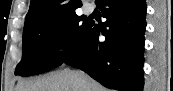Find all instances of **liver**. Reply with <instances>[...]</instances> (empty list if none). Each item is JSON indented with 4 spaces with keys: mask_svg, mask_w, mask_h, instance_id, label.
I'll use <instances>...</instances> for the list:
<instances>
[{
    "mask_svg": "<svg viewBox=\"0 0 173 91\" xmlns=\"http://www.w3.org/2000/svg\"><path fill=\"white\" fill-rule=\"evenodd\" d=\"M15 91H107L81 71L63 70L35 80L21 81Z\"/></svg>",
    "mask_w": 173,
    "mask_h": 91,
    "instance_id": "1",
    "label": "liver"
}]
</instances>
